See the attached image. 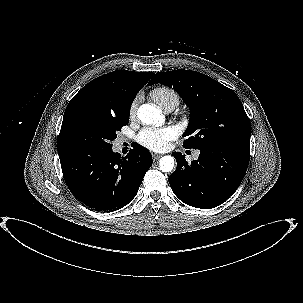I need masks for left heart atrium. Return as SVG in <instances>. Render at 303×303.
<instances>
[{"instance_id": "obj_1", "label": "left heart atrium", "mask_w": 303, "mask_h": 303, "mask_svg": "<svg viewBox=\"0 0 303 303\" xmlns=\"http://www.w3.org/2000/svg\"><path fill=\"white\" fill-rule=\"evenodd\" d=\"M177 136L178 131L173 126L146 127L138 134L137 141L149 150L164 151Z\"/></svg>"}]
</instances>
